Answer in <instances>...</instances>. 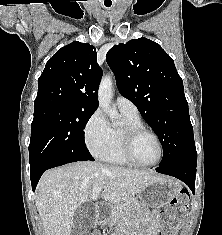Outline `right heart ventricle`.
<instances>
[{
  "label": "right heart ventricle",
  "mask_w": 222,
  "mask_h": 235,
  "mask_svg": "<svg viewBox=\"0 0 222 235\" xmlns=\"http://www.w3.org/2000/svg\"><path fill=\"white\" fill-rule=\"evenodd\" d=\"M123 124L121 127H110V142L106 149L99 156L102 160L114 164H128L121 153L120 130L126 124H143L139 114L121 112Z\"/></svg>",
  "instance_id": "e07e8e85"
}]
</instances>
